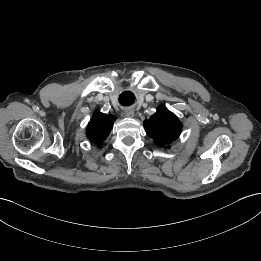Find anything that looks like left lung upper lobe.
I'll return each instance as SVG.
<instances>
[{
  "label": "left lung upper lobe",
  "mask_w": 261,
  "mask_h": 261,
  "mask_svg": "<svg viewBox=\"0 0 261 261\" xmlns=\"http://www.w3.org/2000/svg\"><path fill=\"white\" fill-rule=\"evenodd\" d=\"M144 128L158 146L167 147L180 136L182 125L178 118L162 105L144 122Z\"/></svg>",
  "instance_id": "1"
}]
</instances>
